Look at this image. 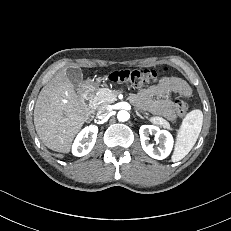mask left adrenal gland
I'll return each instance as SVG.
<instances>
[{
    "mask_svg": "<svg viewBox=\"0 0 231 231\" xmlns=\"http://www.w3.org/2000/svg\"><path fill=\"white\" fill-rule=\"evenodd\" d=\"M136 115L139 116L141 119H144L142 115L139 114V112L136 111Z\"/></svg>",
    "mask_w": 231,
    "mask_h": 231,
    "instance_id": "obj_1",
    "label": "left adrenal gland"
}]
</instances>
